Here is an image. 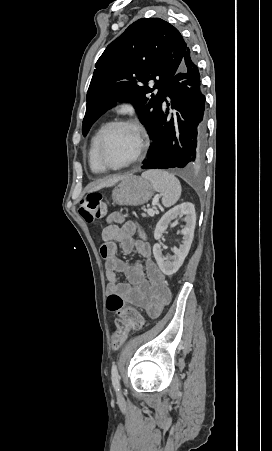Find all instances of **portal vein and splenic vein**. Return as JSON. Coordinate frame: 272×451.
I'll return each instance as SVG.
<instances>
[{
  "instance_id": "1",
  "label": "portal vein and splenic vein",
  "mask_w": 272,
  "mask_h": 451,
  "mask_svg": "<svg viewBox=\"0 0 272 451\" xmlns=\"http://www.w3.org/2000/svg\"><path fill=\"white\" fill-rule=\"evenodd\" d=\"M156 198H159V196H156ZM147 214H149V216H154L155 212L149 208V210H147Z\"/></svg>"
}]
</instances>
